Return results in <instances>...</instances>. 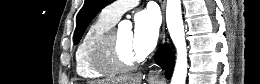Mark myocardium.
Masks as SVG:
<instances>
[{"mask_svg": "<svg viewBox=\"0 0 260 84\" xmlns=\"http://www.w3.org/2000/svg\"><path fill=\"white\" fill-rule=\"evenodd\" d=\"M117 29L111 27L97 41L94 49V67L106 74H118L132 71L142 62L137 58L130 62H124L119 57L117 41Z\"/></svg>", "mask_w": 260, "mask_h": 84, "instance_id": "1", "label": "myocardium"}]
</instances>
